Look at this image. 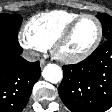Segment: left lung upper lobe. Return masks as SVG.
I'll list each match as a JSON object with an SVG mask.
<instances>
[{
  "label": "left lung upper lobe",
  "mask_w": 112,
  "mask_h": 112,
  "mask_svg": "<svg viewBox=\"0 0 112 112\" xmlns=\"http://www.w3.org/2000/svg\"><path fill=\"white\" fill-rule=\"evenodd\" d=\"M97 17L101 20L105 39H112V17L103 13H98Z\"/></svg>",
  "instance_id": "left-lung-upper-lobe-1"
}]
</instances>
